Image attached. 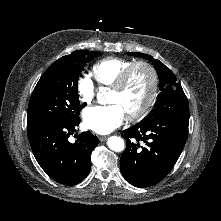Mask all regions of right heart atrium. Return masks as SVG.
<instances>
[{
    "label": "right heart atrium",
    "instance_id": "d8ad5b80",
    "mask_svg": "<svg viewBox=\"0 0 221 221\" xmlns=\"http://www.w3.org/2000/svg\"><path fill=\"white\" fill-rule=\"evenodd\" d=\"M76 89L78 97L82 103L90 104L93 102L96 95V88L93 81L89 77H80L77 81Z\"/></svg>",
    "mask_w": 221,
    "mask_h": 221
}]
</instances>
